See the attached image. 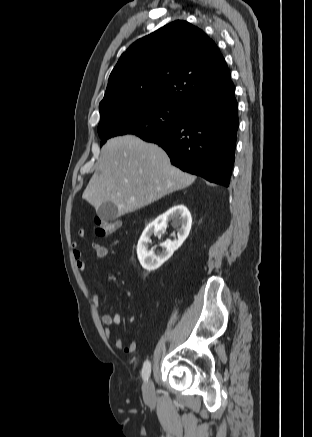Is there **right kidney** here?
Instances as JSON below:
<instances>
[{
	"mask_svg": "<svg viewBox=\"0 0 312 437\" xmlns=\"http://www.w3.org/2000/svg\"><path fill=\"white\" fill-rule=\"evenodd\" d=\"M169 221L172 222L173 227L177 228L178 238L173 242L166 240L161 244L166 250L160 255H155L152 250L148 249V244L151 241L150 237L152 234L160 235L164 233ZM191 224V214L184 205L172 207L149 224L143 231L137 245V255L142 267L147 271L158 269L186 240L191 230Z\"/></svg>",
	"mask_w": 312,
	"mask_h": 437,
	"instance_id": "ca27d5eb",
	"label": "right kidney"
}]
</instances>
